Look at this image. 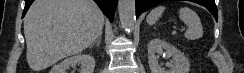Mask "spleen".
Instances as JSON below:
<instances>
[{"label":"spleen","instance_id":"3e777b00","mask_svg":"<svg viewBox=\"0 0 244 73\" xmlns=\"http://www.w3.org/2000/svg\"><path fill=\"white\" fill-rule=\"evenodd\" d=\"M165 6H158L150 11L146 21L149 25H153L162 16L165 11ZM179 18L187 25V30L184 34L188 40H196L203 36V27L199 16L188 7L179 9Z\"/></svg>","mask_w":244,"mask_h":73}]
</instances>
